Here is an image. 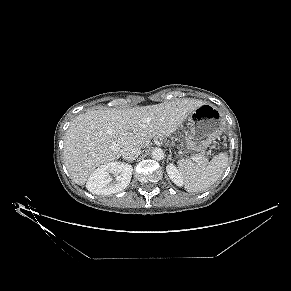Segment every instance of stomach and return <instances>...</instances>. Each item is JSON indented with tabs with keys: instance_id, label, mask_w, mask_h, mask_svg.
Returning <instances> with one entry per match:
<instances>
[{
	"instance_id": "stomach-1",
	"label": "stomach",
	"mask_w": 291,
	"mask_h": 291,
	"mask_svg": "<svg viewBox=\"0 0 291 291\" xmlns=\"http://www.w3.org/2000/svg\"><path fill=\"white\" fill-rule=\"evenodd\" d=\"M187 125V148L194 152H202L223 133L224 118L215 106L205 103L188 116Z\"/></svg>"
}]
</instances>
